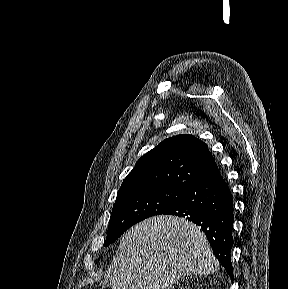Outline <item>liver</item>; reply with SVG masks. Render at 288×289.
<instances>
[{
	"instance_id": "liver-1",
	"label": "liver",
	"mask_w": 288,
	"mask_h": 289,
	"mask_svg": "<svg viewBox=\"0 0 288 289\" xmlns=\"http://www.w3.org/2000/svg\"><path fill=\"white\" fill-rule=\"evenodd\" d=\"M218 267L200 227L159 215L124 234L105 277L112 289H169L186 275H208Z\"/></svg>"
}]
</instances>
